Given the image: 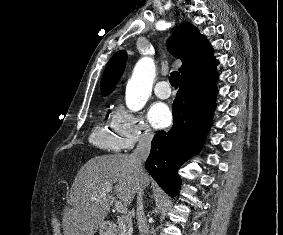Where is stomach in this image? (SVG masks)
Segmentation results:
<instances>
[{"label":"stomach","mask_w":283,"mask_h":235,"mask_svg":"<svg viewBox=\"0 0 283 235\" xmlns=\"http://www.w3.org/2000/svg\"><path fill=\"white\" fill-rule=\"evenodd\" d=\"M99 235H113L112 229L107 222H103L99 226Z\"/></svg>","instance_id":"obj_1"}]
</instances>
